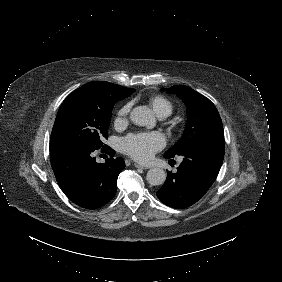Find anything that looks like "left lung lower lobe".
<instances>
[{
    "instance_id": "left-lung-lower-lobe-1",
    "label": "left lung lower lobe",
    "mask_w": 282,
    "mask_h": 282,
    "mask_svg": "<svg viewBox=\"0 0 282 282\" xmlns=\"http://www.w3.org/2000/svg\"><path fill=\"white\" fill-rule=\"evenodd\" d=\"M224 141H206L195 144L180 155L183 162L156 192L167 206L182 209L196 203L214 183L224 158ZM171 158V157H166Z\"/></svg>"
}]
</instances>
